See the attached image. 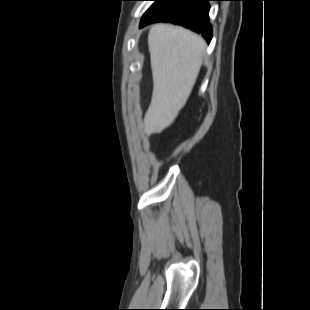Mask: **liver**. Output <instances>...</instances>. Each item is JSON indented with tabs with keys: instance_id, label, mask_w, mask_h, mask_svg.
<instances>
[{
	"instance_id": "obj_1",
	"label": "liver",
	"mask_w": 310,
	"mask_h": 310,
	"mask_svg": "<svg viewBox=\"0 0 310 310\" xmlns=\"http://www.w3.org/2000/svg\"><path fill=\"white\" fill-rule=\"evenodd\" d=\"M153 75L152 101L145 116V133L169 127L184 107L198 77L205 41L179 26L156 24L148 36Z\"/></svg>"
}]
</instances>
